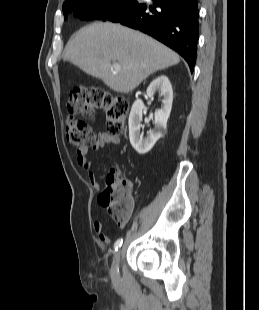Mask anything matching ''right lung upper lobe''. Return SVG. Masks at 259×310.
<instances>
[{
  "mask_svg": "<svg viewBox=\"0 0 259 310\" xmlns=\"http://www.w3.org/2000/svg\"><path fill=\"white\" fill-rule=\"evenodd\" d=\"M96 1H100V0H65L63 5L71 3V2H80L82 4H86V3L96 2Z\"/></svg>",
  "mask_w": 259,
  "mask_h": 310,
  "instance_id": "obj_1",
  "label": "right lung upper lobe"
}]
</instances>
